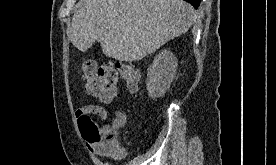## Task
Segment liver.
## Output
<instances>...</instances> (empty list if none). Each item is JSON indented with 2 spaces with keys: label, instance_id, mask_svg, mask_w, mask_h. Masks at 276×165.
<instances>
[{
  "label": "liver",
  "instance_id": "obj_1",
  "mask_svg": "<svg viewBox=\"0 0 276 165\" xmlns=\"http://www.w3.org/2000/svg\"><path fill=\"white\" fill-rule=\"evenodd\" d=\"M195 19L183 0H86L68 35L82 52L97 41L107 57L132 62L185 34Z\"/></svg>",
  "mask_w": 276,
  "mask_h": 165
}]
</instances>
